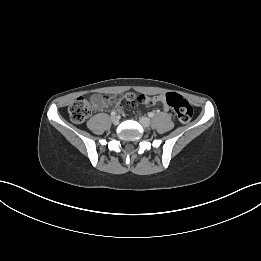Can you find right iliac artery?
Returning <instances> with one entry per match:
<instances>
[{
  "label": "right iliac artery",
  "mask_w": 261,
  "mask_h": 261,
  "mask_svg": "<svg viewBox=\"0 0 261 261\" xmlns=\"http://www.w3.org/2000/svg\"><path fill=\"white\" fill-rule=\"evenodd\" d=\"M115 115H116V112L112 111L111 116H115Z\"/></svg>",
  "instance_id": "82829eb1"
}]
</instances>
